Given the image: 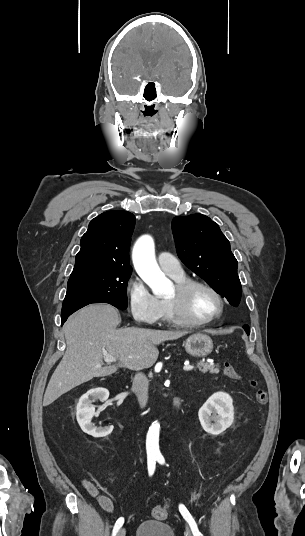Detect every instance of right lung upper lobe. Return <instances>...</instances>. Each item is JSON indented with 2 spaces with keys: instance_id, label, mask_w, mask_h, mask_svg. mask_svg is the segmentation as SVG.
I'll return each instance as SVG.
<instances>
[{
  "instance_id": "right-lung-upper-lobe-1",
  "label": "right lung upper lobe",
  "mask_w": 305,
  "mask_h": 536,
  "mask_svg": "<svg viewBox=\"0 0 305 536\" xmlns=\"http://www.w3.org/2000/svg\"><path fill=\"white\" fill-rule=\"evenodd\" d=\"M134 225L135 217L127 211H108L94 218L81 238L70 277L132 272L128 252Z\"/></svg>"
}]
</instances>
